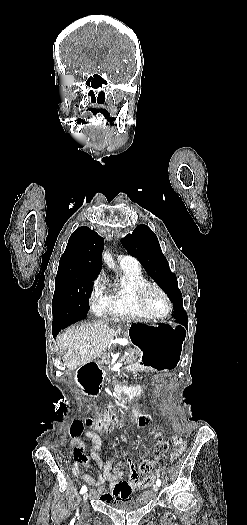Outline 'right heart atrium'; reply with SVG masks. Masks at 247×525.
Instances as JSON below:
<instances>
[{
  "instance_id": "obj_1",
  "label": "right heart atrium",
  "mask_w": 247,
  "mask_h": 525,
  "mask_svg": "<svg viewBox=\"0 0 247 525\" xmlns=\"http://www.w3.org/2000/svg\"><path fill=\"white\" fill-rule=\"evenodd\" d=\"M105 277L103 274H98L91 281L89 285L88 300L91 311L100 315L104 307L111 301L107 290L104 288Z\"/></svg>"
}]
</instances>
